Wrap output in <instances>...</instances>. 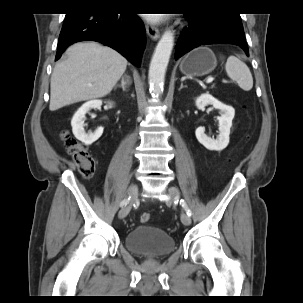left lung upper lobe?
I'll use <instances>...</instances> for the list:
<instances>
[{"instance_id": "left-lung-upper-lobe-1", "label": "left lung upper lobe", "mask_w": 303, "mask_h": 303, "mask_svg": "<svg viewBox=\"0 0 303 303\" xmlns=\"http://www.w3.org/2000/svg\"><path fill=\"white\" fill-rule=\"evenodd\" d=\"M212 16H216L218 18H228V19H236V20H240V15L238 13H230V12H223V11H217L214 10L211 13H208Z\"/></svg>"}]
</instances>
